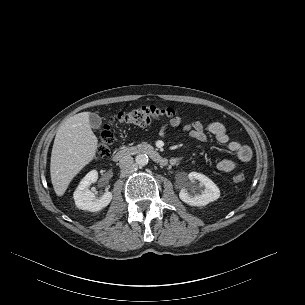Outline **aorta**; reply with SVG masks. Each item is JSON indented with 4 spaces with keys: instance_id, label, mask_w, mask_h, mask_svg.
<instances>
[{
    "instance_id": "762f6f07",
    "label": "aorta",
    "mask_w": 305,
    "mask_h": 305,
    "mask_svg": "<svg viewBox=\"0 0 305 305\" xmlns=\"http://www.w3.org/2000/svg\"><path fill=\"white\" fill-rule=\"evenodd\" d=\"M148 156L146 154H138L135 158V161L136 163L139 165V166H145L148 164Z\"/></svg>"
}]
</instances>
